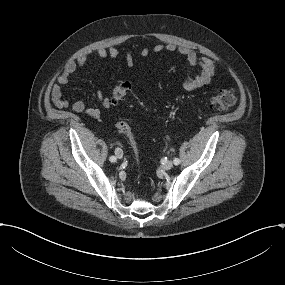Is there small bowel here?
<instances>
[{
	"mask_svg": "<svg viewBox=\"0 0 285 285\" xmlns=\"http://www.w3.org/2000/svg\"><path fill=\"white\" fill-rule=\"evenodd\" d=\"M163 51L169 53H176L179 56L186 59L188 64V76L183 82V86L187 90H195L206 84H208L215 74L217 62L215 59L208 57L199 58L196 52L188 47H178L175 44H157L153 47V53H161ZM96 54L101 59L115 60L119 57L120 52L115 46L107 48H99L96 50ZM150 54L148 48H144L140 52V57L144 58ZM88 57L86 54H81L75 58L69 59L57 74L56 82L51 87V102L58 108H67L70 104L63 98L62 86H65L69 82V77L75 71L83 68L87 63ZM125 61L128 66L134 64V57L132 53L127 52L125 54ZM194 69H198L194 73ZM98 106L88 107L81 100H77L71 104L73 111L77 113H86L87 115L98 118L101 115L102 109L109 108L112 103L110 97L104 96L102 92L97 94Z\"/></svg>",
	"mask_w": 285,
	"mask_h": 285,
	"instance_id": "obj_1",
	"label": "small bowel"
}]
</instances>
